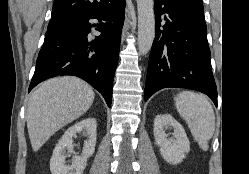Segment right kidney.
Wrapping results in <instances>:
<instances>
[{
    "label": "right kidney",
    "mask_w": 249,
    "mask_h": 174,
    "mask_svg": "<svg viewBox=\"0 0 249 174\" xmlns=\"http://www.w3.org/2000/svg\"><path fill=\"white\" fill-rule=\"evenodd\" d=\"M97 123L94 118L84 119L67 129L55 146L50 160V171L52 174H83L87 159L95 151ZM80 132L88 135L85 141L81 156H74L71 165L65 164V151L73 152V137Z\"/></svg>",
    "instance_id": "1"
}]
</instances>
